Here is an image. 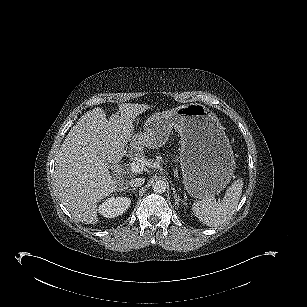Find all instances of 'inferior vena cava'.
Segmentation results:
<instances>
[{
    "instance_id": "602c4592",
    "label": "inferior vena cava",
    "mask_w": 307,
    "mask_h": 307,
    "mask_svg": "<svg viewBox=\"0 0 307 307\" xmlns=\"http://www.w3.org/2000/svg\"><path fill=\"white\" fill-rule=\"evenodd\" d=\"M145 182V179L144 178H132L130 181H129V185L131 187H141Z\"/></svg>"
}]
</instances>
